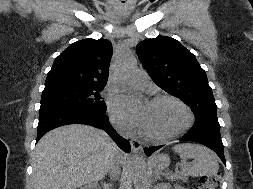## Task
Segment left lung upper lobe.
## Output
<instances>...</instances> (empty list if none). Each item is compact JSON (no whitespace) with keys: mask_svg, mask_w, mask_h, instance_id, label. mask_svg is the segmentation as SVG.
I'll return each instance as SVG.
<instances>
[{"mask_svg":"<svg viewBox=\"0 0 253 189\" xmlns=\"http://www.w3.org/2000/svg\"><path fill=\"white\" fill-rule=\"evenodd\" d=\"M136 52L152 80L191 108L195 123L219 124L206 73L188 49L173 38L160 36L140 42Z\"/></svg>","mask_w":253,"mask_h":189,"instance_id":"obj_1","label":"left lung upper lobe"}]
</instances>
